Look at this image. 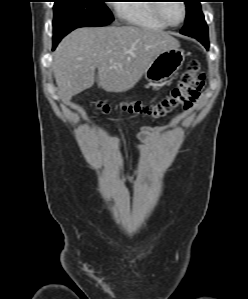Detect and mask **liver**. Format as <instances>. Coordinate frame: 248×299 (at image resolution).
<instances>
[{
	"label": "liver",
	"mask_w": 248,
	"mask_h": 299,
	"mask_svg": "<svg viewBox=\"0 0 248 299\" xmlns=\"http://www.w3.org/2000/svg\"><path fill=\"white\" fill-rule=\"evenodd\" d=\"M179 46L167 32L136 26L77 29L54 53V77L62 101L92 87L96 68L102 89L128 91L159 54Z\"/></svg>",
	"instance_id": "6515ba94"
}]
</instances>
